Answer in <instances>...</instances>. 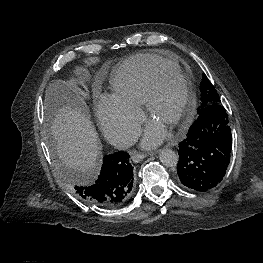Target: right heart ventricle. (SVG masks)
Segmentation results:
<instances>
[{
	"mask_svg": "<svg viewBox=\"0 0 263 263\" xmlns=\"http://www.w3.org/2000/svg\"><path fill=\"white\" fill-rule=\"evenodd\" d=\"M162 69L178 68L172 62L151 54H137L127 58L111 74L113 96L136 108L143 105L151 78Z\"/></svg>",
	"mask_w": 263,
	"mask_h": 263,
	"instance_id": "right-heart-ventricle-1",
	"label": "right heart ventricle"
}]
</instances>
